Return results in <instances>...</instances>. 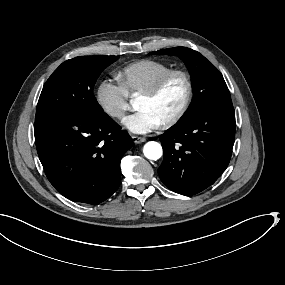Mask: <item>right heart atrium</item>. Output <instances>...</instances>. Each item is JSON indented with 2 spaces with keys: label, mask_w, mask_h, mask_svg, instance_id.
<instances>
[{
  "label": "right heart atrium",
  "mask_w": 285,
  "mask_h": 285,
  "mask_svg": "<svg viewBox=\"0 0 285 285\" xmlns=\"http://www.w3.org/2000/svg\"><path fill=\"white\" fill-rule=\"evenodd\" d=\"M104 111L114 119H121L134 106V99L121 86L110 80H104L99 89Z\"/></svg>",
  "instance_id": "right-heart-atrium-1"
}]
</instances>
